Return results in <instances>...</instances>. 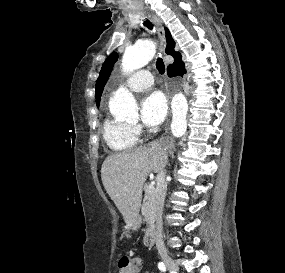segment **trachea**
<instances>
[{
	"instance_id": "obj_1",
	"label": "trachea",
	"mask_w": 285,
	"mask_h": 273,
	"mask_svg": "<svg viewBox=\"0 0 285 273\" xmlns=\"http://www.w3.org/2000/svg\"><path fill=\"white\" fill-rule=\"evenodd\" d=\"M144 26H146L148 29L152 30L153 29V25L152 23L149 21V20H145L143 22ZM156 68L157 70L159 71L160 74H164L165 72V65H164V62H163V59L161 57H158L157 58V61H156Z\"/></svg>"
}]
</instances>
